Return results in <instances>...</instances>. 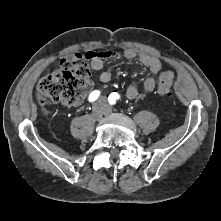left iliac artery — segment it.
<instances>
[{"instance_id": "1", "label": "left iliac artery", "mask_w": 221, "mask_h": 221, "mask_svg": "<svg viewBox=\"0 0 221 221\" xmlns=\"http://www.w3.org/2000/svg\"><path fill=\"white\" fill-rule=\"evenodd\" d=\"M120 98L119 94L114 92V93H111L108 97V100H109V103L111 105H114L116 104V101Z\"/></svg>"}]
</instances>
